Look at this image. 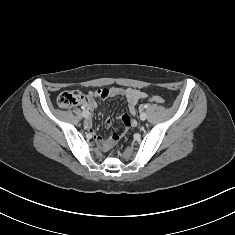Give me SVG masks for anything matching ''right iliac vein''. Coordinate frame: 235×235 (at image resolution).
I'll list each match as a JSON object with an SVG mask.
<instances>
[{
    "label": "right iliac vein",
    "instance_id": "1",
    "mask_svg": "<svg viewBox=\"0 0 235 235\" xmlns=\"http://www.w3.org/2000/svg\"><path fill=\"white\" fill-rule=\"evenodd\" d=\"M83 117H84V118H88V117H89V113H88V112H84V113H83Z\"/></svg>",
    "mask_w": 235,
    "mask_h": 235
}]
</instances>
